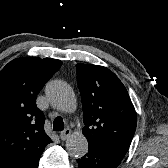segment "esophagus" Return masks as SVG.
Returning <instances> with one entry per match:
<instances>
[{
	"mask_svg": "<svg viewBox=\"0 0 168 168\" xmlns=\"http://www.w3.org/2000/svg\"><path fill=\"white\" fill-rule=\"evenodd\" d=\"M70 135H71V129L66 128L60 133V138L61 140L65 141L70 137Z\"/></svg>",
	"mask_w": 168,
	"mask_h": 168,
	"instance_id": "1",
	"label": "esophagus"
}]
</instances>
